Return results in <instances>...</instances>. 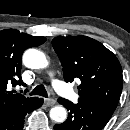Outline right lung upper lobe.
<instances>
[{
  "label": "right lung upper lobe",
  "mask_w": 130,
  "mask_h": 130,
  "mask_svg": "<svg viewBox=\"0 0 130 130\" xmlns=\"http://www.w3.org/2000/svg\"><path fill=\"white\" fill-rule=\"evenodd\" d=\"M46 41L45 37L31 36L15 29L0 31V112L27 105L37 97H26L9 90L8 87L24 85L21 78V57L29 47H36Z\"/></svg>",
  "instance_id": "obj_1"
}]
</instances>
